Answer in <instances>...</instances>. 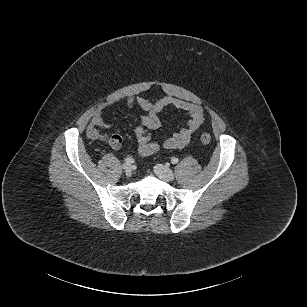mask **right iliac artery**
Returning <instances> with one entry per match:
<instances>
[{"mask_svg":"<svg viewBox=\"0 0 307 307\" xmlns=\"http://www.w3.org/2000/svg\"><path fill=\"white\" fill-rule=\"evenodd\" d=\"M127 164H132V163H134V159L133 158H131V157H127V158H125V160H124Z\"/></svg>","mask_w":307,"mask_h":307,"instance_id":"82829eb1","label":"right iliac artery"}]
</instances>
